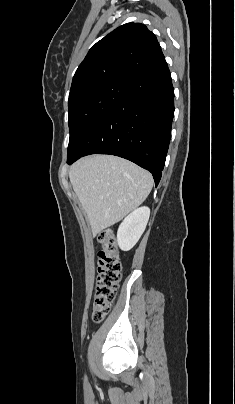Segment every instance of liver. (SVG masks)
<instances>
[{"label":"liver","instance_id":"obj_1","mask_svg":"<svg viewBox=\"0 0 235 404\" xmlns=\"http://www.w3.org/2000/svg\"><path fill=\"white\" fill-rule=\"evenodd\" d=\"M69 178L93 236L141 205L153 187L148 171L112 155H93L78 160L71 166Z\"/></svg>","mask_w":235,"mask_h":404}]
</instances>
